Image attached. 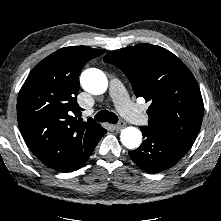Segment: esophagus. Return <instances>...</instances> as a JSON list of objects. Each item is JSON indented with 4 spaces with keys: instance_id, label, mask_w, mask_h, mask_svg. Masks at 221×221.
Returning <instances> with one entry per match:
<instances>
[{
    "instance_id": "34e87169",
    "label": "esophagus",
    "mask_w": 221,
    "mask_h": 221,
    "mask_svg": "<svg viewBox=\"0 0 221 221\" xmlns=\"http://www.w3.org/2000/svg\"><path fill=\"white\" fill-rule=\"evenodd\" d=\"M125 127H126V124L124 122H120L119 124H116L114 126V129L118 131V130H122Z\"/></svg>"
}]
</instances>
